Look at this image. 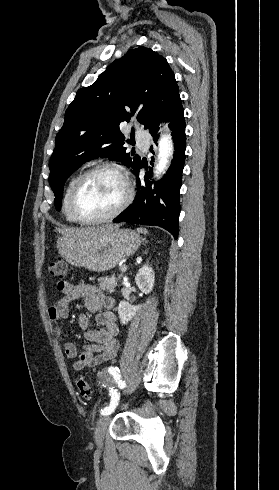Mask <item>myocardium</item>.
Masks as SVG:
<instances>
[{"mask_svg": "<svg viewBox=\"0 0 279 490\" xmlns=\"http://www.w3.org/2000/svg\"><path fill=\"white\" fill-rule=\"evenodd\" d=\"M102 172H111L116 174L122 181L125 189V195L122 201L118 204V206L108 214H105L103 216L93 218V219H84L79 216L78 214V209H77V201H78V196L84 186V184L87 182V180L99 173ZM133 199V188L131 185V182L129 180L127 171L125 168H123L120 165L113 164V163H103L99 164L96 166L91 167L90 169L86 170L83 172L79 178L77 179L76 183L74 184L72 194H71V201H70V208L72 215L74 219L83 225H89V224H97V223H102L106 222L109 220H112L116 217H118L130 204V202Z\"/></svg>", "mask_w": 279, "mask_h": 490, "instance_id": "f54148a6", "label": "myocardium"}]
</instances>
